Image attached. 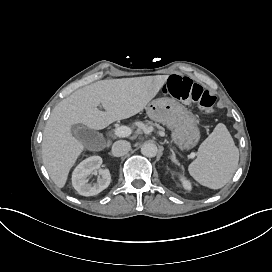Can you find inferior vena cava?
<instances>
[{
    "label": "inferior vena cava",
    "instance_id": "602c4592",
    "mask_svg": "<svg viewBox=\"0 0 272 272\" xmlns=\"http://www.w3.org/2000/svg\"><path fill=\"white\" fill-rule=\"evenodd\" d=\"M131 149L129 142L125 140H118L112 145V154L115 157H120L127 154Z\"/></svg>",
    "mask_w": 272,
    "mask_h": 272
}]
</instances>
